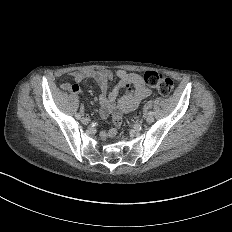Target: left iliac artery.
Listing matches in <instances>:
<instances>
[{"instance_id": "obj_1", "label": "left iliac artery", "mask_w": 232, "mask_h": 232, "mask_svg": "<svg viewBox=\"0 0 232 232\" xmlns=\"http://www.w3.org/2000/svg\"><path fill=\"white\" fill-rule=\"evenodd\" d=\"M154 116V112H149V117H153Z\"/></svg>"}]
</instances>
